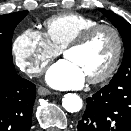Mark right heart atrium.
<instances>
[{
    "instance_id": "obj_1",
    "label": "right heart atrium",
    "mask_w": 131,
    "mask_h": 131,
    "mask_svg": "<svg viewBox=\"0 0 131 131\" xmlns=\"http://www.w3.org/2000/svg\"><path fill=\"white\" fill-rule=\"evenodd\" d=\"M12 50L18 67L30 76L40 73L60 54L45 34L33 29H27L18 35Z\"/></svg>"
}]
</instances>
